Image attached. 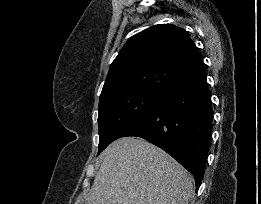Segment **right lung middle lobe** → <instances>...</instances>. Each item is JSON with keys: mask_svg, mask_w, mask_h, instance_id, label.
Segmentation results:
<instances>
[{"mask_svg": "<svg viewBox=\"0 0 261 204\" xmlns=\"http://www.w3.org/2000/svg\"><path fill=\"white\" fill-rule=\"evenodd\" d=\"M165 93L155 90H123L100 99L98 154L150 112Z\"/></svg>", "mask_w": 261, "mask_h": 204, "instance_id": "obj_1", "label": "right lung middle lobe"}]
</instances>
